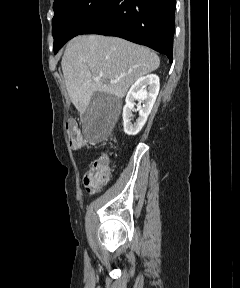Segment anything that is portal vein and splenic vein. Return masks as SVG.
<instances>
[{
  "label": "portal vein and splenic vein",
  "instance_id": "obj_1",
  "mask_svg": "<svg viewBox=\"0 0 240 288\" xmlns=\"http://www.w3.org/2000/svg\"><path fill=\"white\" fill-rule=\"evenodd\" d=\"M102 78V75H98L94 77V81H99ZM112 83L116 82V80H111Z\"/></svg>",
  "mask_w": 240,
  "mask_h": 288
}]
</instances>
